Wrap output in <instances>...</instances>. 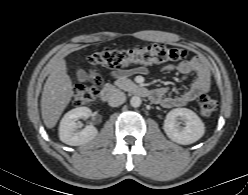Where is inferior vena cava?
<instances>
[{
	"label": "inferior vena cava",
	"mask_w": 248,
	"mask_h": 195,
	"mask_svg": "<svg viewBox=\"0 0 248 195\" xmlns=\"http://www.w3.org/2000/svg\"><path fill=\"white\" fill-rule=\"evenodd\" d=\"M125 100H126V96H125L124 92H122L120 90H116L110 96V98L108 100V104L111 107H117L119 105H122L125 102Z\"/></svg>",
	"instance_id": "1"
}]
</instances>
